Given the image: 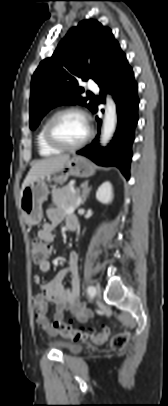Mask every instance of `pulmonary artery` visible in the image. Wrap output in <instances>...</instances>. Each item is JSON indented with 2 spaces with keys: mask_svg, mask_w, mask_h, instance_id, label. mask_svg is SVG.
I'll use <instances>...</instances> for the list:
<instances>
[{
  "mask_svg": "<svg viewBox=\"0 0 168 406\" xmlns=\"http://www.w3.org/2000/svg\"><path fill=\"white\" fill-rule=\"evenodd\" d=\"M87 87H88V89H90L92 91H98V86L94 80H89L87 83Z\"/></svg>",
  "mask_w": 168,
  "mask_h": 406,
  "instance_id": "e3ab8cb5",
  "label": "pulmonary artery"
}]
</instances>
